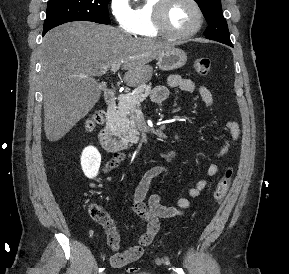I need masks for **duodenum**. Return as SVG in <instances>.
I'll return each mask as SVG.
<instances>
[{
  "label": "duodenum",
  "mask_w": 289,
  "mask_h": 274,
  "mask_svg": "<svg viewBox=\"0 0 289 274\" xmlns=\"http://www.w3.org/2000/svg\"><path fill=\"white\" fill-rule=\"evenodd\" d=\"M105 102L107 105L108 115H111L116 108L117 102V93L113 88L106 90ZM98 138L102 147L108 152L117 153L129 146L127 142L117 139L115 136H113L107 123H104V125L101 127Z\"/></svg>",
  "instance_id": "410a0bca"
}]
</instances>
